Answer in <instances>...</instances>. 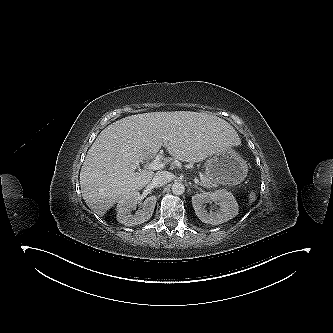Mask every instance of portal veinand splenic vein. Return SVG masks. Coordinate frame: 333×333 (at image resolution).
Masks as SVG:
<instances>
[{"label":"portal vein and splenic vein","instance_id":"portal-vein-and-splenic-vein-1","mask_svg":"<svg viewBox=\"0 0 333 333\" xmlns=\"http://www.w3.org/2000/svg\"><path fill=\"white\" fill-rule=\"evenodd\" d=\"M165 140L167 141L168 138H165ZM165 166V163L162 162L161 160H159V158H155L153 161H151L150 163H148L145 168L149 169V170H159L161 168H163ZM194 182L196 184H200L199 180L197 178L194 179Z\"/></svg>","mask_w":333,"mask_h":333}]
</instances>
